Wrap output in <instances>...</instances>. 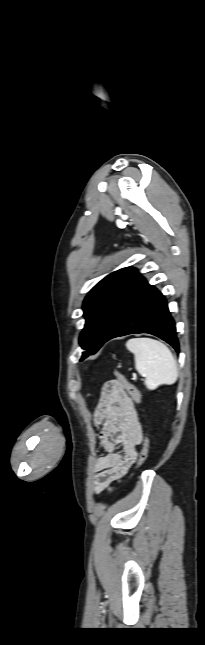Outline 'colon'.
I'll return each instance as SVG.
<instances>
[{
  "instance_id": "obj_1",
  "label": "colon",
  "mask_w": 205,
  "mask_h": 645,
  "mask_svg": "<svg viewBox=\"0 0 205 645\" xmlns=\"http://www.w3.org/2000/svg\"><path fill=\"white\" fill-rule=\"evenodd\" d=\"M114 375H115V379L107 382L108 387L111 390L127 392L136 403L138 404L141 403V394L138 391V389L133 384H131L121 373L115 371ZM148 452H149V440L145 436L142 444V448L137 460L136 468L141 467L145 463L148 457Z\"/></svg>"
}]
</instances>
